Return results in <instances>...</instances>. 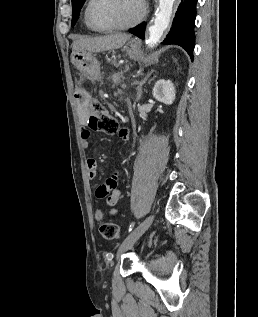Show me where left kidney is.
Masks as SVG:
<instances>
[{"label": "left kidney", "mask_w": 258, "mask_h": 317, "mask_svg": "<svg viewBox=\"0 0 258 317\" xmlns=\"http://www.w3.org/2000/svg\"><path fill=\"white\" fill-rule=\"evenodd\" d=\"M152 94L156 100L165 102V104H172L175 100V86L171 80H164L160 78L153 86Z\"/></svg>", "instance_id": "1"}]
</instances>
